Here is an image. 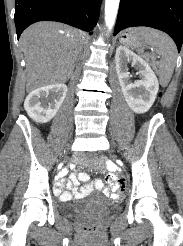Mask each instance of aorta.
I'll use <instances>...</instances> for the list:
<instances>
[{
    "instance_id": "1",
    "label": "aorta",
    "mask_w": 183,
    "mask_h": 246,
    "mask_svg": "<svg viewBox=\"0 0 183 246\" xmlns=\"http://www.w3.org/2000/svg\"><path fill=\"white\" fill-rule=\"evenodd\" d=\"M120 0H105V23L109 30L115 24Z\"/></svg>"
}]
</instances>
